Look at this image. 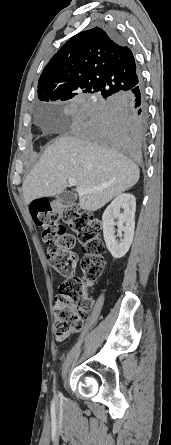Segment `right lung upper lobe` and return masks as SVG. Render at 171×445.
Instances as JSON below:
<instances>
[{"mask_svg":"<svg viewBox=\"0 0 171 445\" xmlns=\"http://www.w3.org/2000/svg\"><path fill=\"white\" fill-rule=\"evenodd\" d=\"M134 56L107 29L95 27L68 40L51 58L38 82L41 101L80 93L123 95L140 84Z\"/></svg>","mask_w":171,"mask_h":445,"instance_id":"cb5924a9","label":"right lung upper lobe"}]
</instances>
